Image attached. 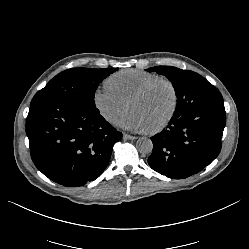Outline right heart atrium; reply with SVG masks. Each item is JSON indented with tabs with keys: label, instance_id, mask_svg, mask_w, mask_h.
I'll return each mask as SVG.
<instances>
[{
	"label": "right heart atrium",
	"instance_id": "1",
	"mask_svg": "<svg viewBox=\"0 0 249 249\" xmlns=\"http://www.w3.org/2000/svg\"><path fill=\"white\" fill-rule=\"evenodd\" d=\"M93 105L98 114L108 123H114L125 110L126 102L106 86L98 88L93 94Z\"/></svg>",
	"mask_w": 249,
	"mask_h": 249
}]
</instances>
